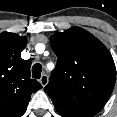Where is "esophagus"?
<instances>
[{"mask_svg":"<svg viewBox=\"0 0 117 117\" xmlns=\"http://www.w3.org/2000/svg\"><path fill=\"white\" fill-rule=\"evenodd\" d=\"M39 82L44 87L48 84V77L46 75H42Z\"/></svg>","mask_w":117,"mask_h":117,"instance_id":"34e87169","label":"esophagus"}]
</instances>
